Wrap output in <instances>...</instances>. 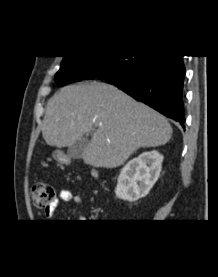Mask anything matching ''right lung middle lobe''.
<instances>
[{"instance_id":"right-lung-middle-lobe-1","label":"right lung middle lobe","mask_w":218,"mask_h":277,"mask_svg":"<svg viewBox=\"0 0 218 277\" xmlns=\"http://www.w3.org/2000/svg\"><path fill=\"white\" fill-rule=\"evenodd\" d=\"M150 56H65L59 71L55 75L61 85L83 79L85 74L102 76L103 80L112 82H126L138 71Z\"/></svg>"}]
</instances>
